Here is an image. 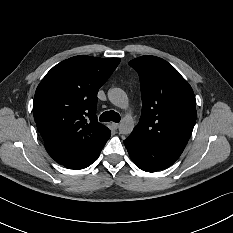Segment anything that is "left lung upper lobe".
<instances>
[{"label": "left lung upper lobe", "mask_w": 233, "mask_h": 233, "mask_svg": "<svg viewBox=\"0 0 233 233\" xmlns=\"http://www.w3.org/2000/svg\"><path fill=\"white\" fill-rule=\"evenodd\" d=\"M139 74L142 113L132 133L156 146L182 153L196 123L192 88L165 60L145 55L129 62Z\"/></svg>", "instance_id": "obj_1"}]
</instances>
